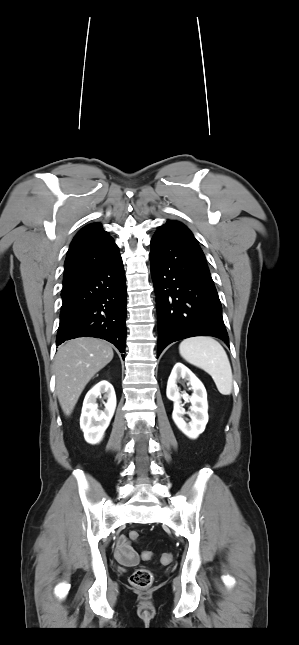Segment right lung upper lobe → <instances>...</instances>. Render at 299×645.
Wrapping results in <instances>:
<instances>
[{
	"label": "right lung upper lobe",
	"mask_w": 299,
	"mask_h": 645,
	"mask_svg": "<svg viewBox=\"0 0 299 645\" xmlns=\"http://www.w3.org/2000/svg\"><path fill=\"white\" fill-rule=\"evenodd\" d=\"M119 255L118 247L100 223L82 228L71 242L64 265L63 284L81 272Z\"/></svg>",
	"instance_id": "cb5924a9"
}]
</instances>
